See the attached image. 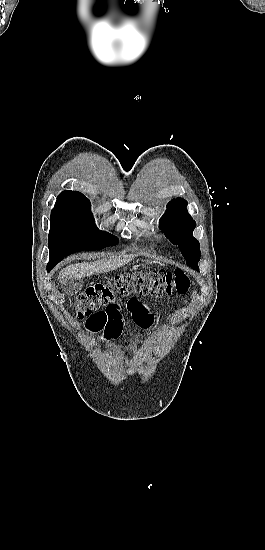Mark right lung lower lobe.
Masks as SVG:
<instances>
[{"label": "right lung lower lobe", "instance_id": "obj_1", "mask_svg": "<svg viewBox=\"0 0 265 550\" xmlns=\"http://www.w3.org/2000/svg\"><path fill=\"white\" fill-rule=\"evenodd\" d=\"M52 268V266H47V271H50Z\"/></svg>", "mask_w": 265, "mask_h": 550}]
</instances>
